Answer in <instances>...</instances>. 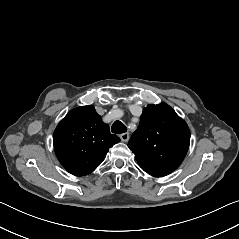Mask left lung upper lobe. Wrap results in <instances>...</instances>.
I'll return each instance as SVG.
<instances>
[{
	"label": "left lung upper lobe",
	"mask_w": 239,
	"mask_h": 239,
	"mask_svg": "<svg viewBox=\"0 0 239 239\" xmlns=\"http://www.w3.org/2000/svg\"><path fill=\"white\" fill-rule=\"evenodd\" d=\"M190 143L186 122L166 103L144 108L128 147L139 166L152 176H166L182 163Z\"/></svg>",
	"instance_id": "obj_1"
}]
</instances>
